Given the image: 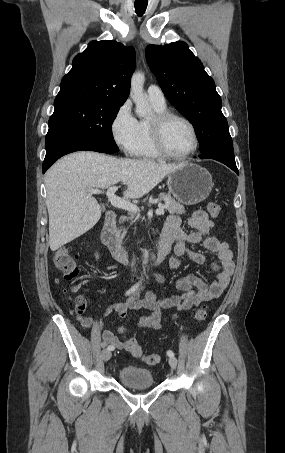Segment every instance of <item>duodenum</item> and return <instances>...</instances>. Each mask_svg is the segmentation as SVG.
Here are the masks:
<instances>
[{
  "label": "duodenum",
  "mask_w": 285,
  "mask_h": 453,
  "mask_svg": "<svg viewBox=\"0 0 285 453\" xmlns=\"http://www.w3.org/2000/svg\"><path fill=\"white\" fill-rule=\"evenodd\" d=\"M117 215L113 211H108L105 215L104 224L101 229V239L104 245L108 247L112 255L120 262H128L130 254L123 246L117 232L116 227ZM171 243L161 237L158 244V249L155 255L149 262V265L161 263L169 254Z\"/></svg>",
  "instance_id": "410a0bca"
}]
</instances>
